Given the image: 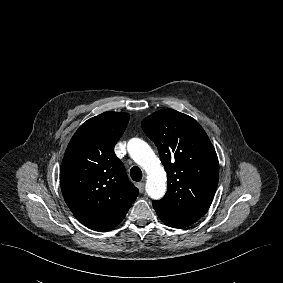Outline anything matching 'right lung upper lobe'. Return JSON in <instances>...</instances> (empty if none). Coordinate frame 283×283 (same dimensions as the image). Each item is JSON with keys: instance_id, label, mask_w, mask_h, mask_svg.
I'll use <instances>...</instances> for the list:
<instances>
[{"instance_id": "right-lung-upper-lobe-1", "label": "right lung upper lobe", "mask_w": 283, "mask_h": 283, "mask_svg": "<svg viewBox=\"0 0 283 283\" xmlns=\"http://www.w3.org/2000/svg\"><path fill=\"white\" fill-rule=\"evenodd\" d=\"M129 118L127 113L104 112L87 120L72 137L62 160L63 197L74 216L92 230L115 228L138 195L114 153Z\"/></svg>"}]
</instances>
